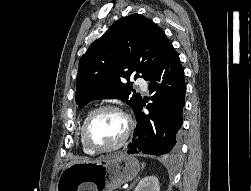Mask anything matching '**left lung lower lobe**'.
<instances>
[{"label": "left lung lower lobe", "instance_id": "left-lung-lower-lobe-1", "mask_svg": "<svg viewBox=\"0 0 251 191\" xmlns=\"http://www.w3.org/2000/svg\"><path fill=\"white\" fill-rule=\"evenodd\" d=\"M148 88L155 92L150 98L154 103L147 106L148 116L142 112L146 101L138 106L137 127L127 153L173 156L178 151L186 92L184 70L174 48L154 71Z\"/></svg>", "mask_w": 251, "mask_h": 191}]
</instances>
